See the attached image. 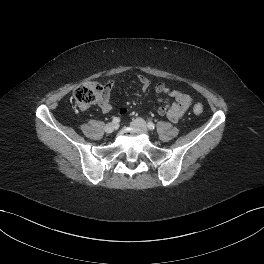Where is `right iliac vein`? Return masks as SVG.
Instances as JSON below:
<instances>
[{
	"label": "right iliac vein",
	"mask_w": 264,
	"mask_h": 264,
	"mask_svg": "<svg viewBox=\"0 0 264 264\" xmlns=\"http://www.w3.org/2000/svg\"><path fill=\"white\" fill-rule=\"evenodd\" d=\"M114 130H115V125H114L113 123H108V124L105 126V131H106V133H108V134L112 133Z\"/></svg>",
	"instance_id": "obj_1"
}]
</instances>
